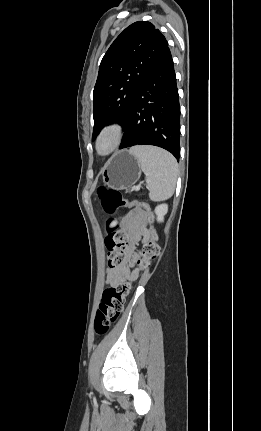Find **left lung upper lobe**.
<instances>
[{
  "instance_id": "5c2ea615",
  "label": "left lung upper lobe",
  "mask_w": 261,
  "mask_h": 431,
  "mask_svg": "<svg viewBox=\"0 0 261 431\" xmlns=\"http://www.w3.org/2000/svg\"><path fill=\"white\" fill-rule=\"evenodd\" d=\"M168 48L162 33L150 22H135L104 55L93 91V139L108 123L124 128L134 98L153 64Z\"/></svg>"
}]
</instances>
